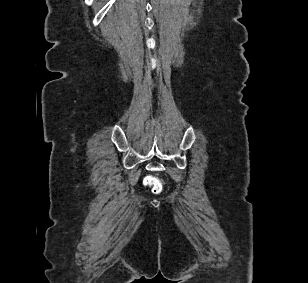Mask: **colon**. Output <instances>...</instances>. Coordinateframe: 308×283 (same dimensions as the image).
I'll return each mask as SVG.
<instances>
[{
  "label": "colon",
  "instance_id": "colon-1",
  "mask_svg": "<svg viewBox=\"0 0 308 283\" xmlns=\"http://www.w3.org/2000/svg\"><path fill=\"white\" fill-rule=\"evenodd\" d=\"M145 184L150 186L154 192H160L162 189L161 182L155 177H147Z\"/></svg>",
  "mask_w": 308,
  "mask_h": 283
}]
</instances>
